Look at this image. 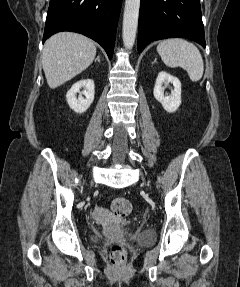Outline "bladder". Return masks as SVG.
<instances>
[{"instance_id":"31cf9c89","label":"bladder","mask_w":240,"mask_h":287,"mask_svg":"<svg viewBox=\"0 0 240 287\" xmlns=\"http://www.w3.org/2000/svg\"><path fill=\"white\" fill-rule=\"evenodd\" d=\"M119 234L127 235L131 234L136 237V240L141 244H149L153 241V233L149 229H135L132 227H123L118 231ZM93 242H99L101 240V235L94 233L91 236Z\"/></svg>"}]
</instances>
